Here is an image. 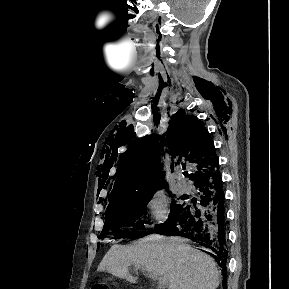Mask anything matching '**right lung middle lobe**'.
Here are the masks:
<instances>
[{"label": "right lung middle lobe", "instance_id": "right-lung-middle-lobe-1", "mask_svg": "<svg viewBox=\"0 0 289 289\" xmlns=\"http://www.w3.org/2000/svg\"><path fill=\"white\" fill-rule=\"evenodd\" d=\"M157 190L137 194L109 205L106 210L104 228L99 238L106 237L109 230L113 232L114 239L138 238L148 234L150 230L139 232L143 227V224L139 222V219L143 212L146 213L147 203L151 200ZM180 206V204L173 201L169 216H171ZM128 229L131 230L128 231Z\"/></svg>", "mask_w": 289, "mask_h": 289}]
</instances>
